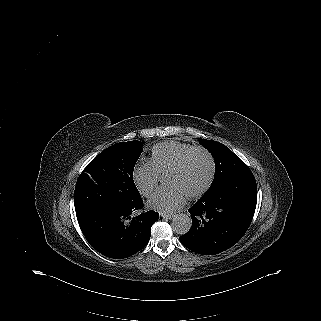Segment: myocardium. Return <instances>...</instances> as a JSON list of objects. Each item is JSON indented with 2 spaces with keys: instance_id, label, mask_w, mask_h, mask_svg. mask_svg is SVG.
<instances>
[{
  "instance_id": "obj_1",
  "label": "myocardium",
  "mask_w": 321,
  "mask_h": 321,
  "mask_svg": "<svg viewBox=\"0 0 321 321\" xmlns=\"http://www.w3.org/2000/svg\"><path fill=\"white\" fill-rule=\"evenodd\" d=\"M196 156H204L208 159L210 164L209 173L204 179V181L195 186V187H187L182 183V179L184 178L186 172L192 167V161ZM216 173V165L215 160L210 153L205 148L198 147L194 149L186 158V160L181 163L169 176L168 179L174 183L176 186H178L184 193H186L190 197H195L200 194H202L204 191H206L210 185L212 184Z\"/></svg>"
}]
</instances>
